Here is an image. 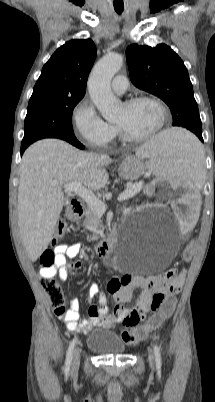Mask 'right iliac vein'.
Here are the masks:
<instances>
[{
  "mask_svg": "<svg viewBox=\"0 0 215 402\" xmlns=\"http://www.w3.org/2000/svg\"><path fill=\"white\" fill-rule=\"evenodd\" d=\"M80 353H81L80 348H77L74 352L73 361H72V369H71L72 374H75L78 371L79 364H80Z\"/></svg>",
  "mask_w": 215,
  "mask_h": 402,
  "instance_id": "63e3f726",
  "label": "right iliac vein"
}]
</instances>
